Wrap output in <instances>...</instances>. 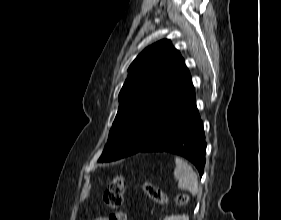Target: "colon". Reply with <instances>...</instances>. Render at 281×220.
I'll list each match as a JSON object with an SVG mask.
<instances>
[{
    "mask_svg": "<svg viewBox=\"0 0 281 220\" xmlns=\"http://www.w3.org/2000/svg\"><path fill=\"white\" fill-rule=\"evenodd\" d=\"M124 188L125 179L122 175L115 176L108 184L103 195V201L110 210L108 220H126V214L121 209ZM144 191L148 197L155 202L160 204H165L167 202L166 194L151 182L144 183ZM188 201L189 196L187 194H180L176 197V203L179 205H184Z\"/></svg>",
    "mask_w": 281,
    "mask_h": 220,
    "instance_id": "obj_1",
    "label": "colon"
}]
</instances>
